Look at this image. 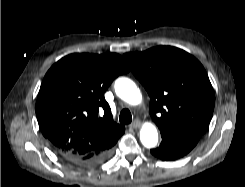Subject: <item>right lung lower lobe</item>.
Segmentation results:
<instances>
[{
  "instance_id": "1",
  "label": "right lung lower lobe",
  "mask_w": 245,
  "mask_h": 187,
  "mask_svg": "<svg viewBox=\"0 0 245 187\" xmlns=\"http://www.w3.org/2000/svg\"><path fill=\"white\" fill-rule=\"evenodd\" d=\"M113 146L105 148V149H100L99 151H96V152H91L84 156L62 155L58 152L57 153L66 162L70 163L71 165L75 167L92 168V167H96L102 164L109 158Z\"/></svg>"
}]
</instances>
